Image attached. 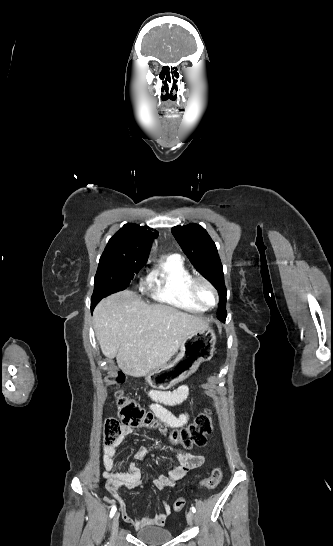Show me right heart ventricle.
<instances>
[{"label": "right heart ventricle", "instance_id": "obj_1", "mask_svg": "<svg viewBox=\"0 0 333 546\" xmlns=\"http://www.w3.org/2000/svg\"><path fill=\"white\" fill-rule=\"evenodd\" d=\"M190 277L191 273L181 258L168 257L152 274L153 299L185 311L204 312L206 308L196 303L188 293Z\"/></svg>", "mask_w": 333, "mask_h": 546}]
</instances>
